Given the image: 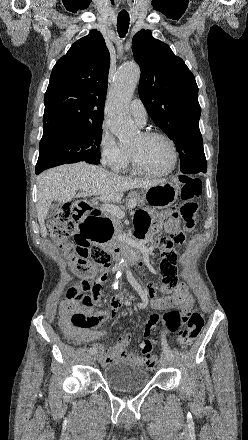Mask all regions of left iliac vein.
Instances as JSON below:
<instances>
[{
    "label": "left iliac vein",
    "instance_id": "4c4485c4",
    "mask_svg": "<svg viewBox=\"0 0 248 440\" xmlns=\"http://www.w3.org/2000/svg\"><path fill=\"white\" fill-rule=\"evenodd\" d=\"M160 363H161V365H162L163 367H167V366H169V364H170V358L167 357L166 355H162V356H161Z\"/></svg>",
    "mask_w": 248,
    "mask_h": 440
}]
</instances>
